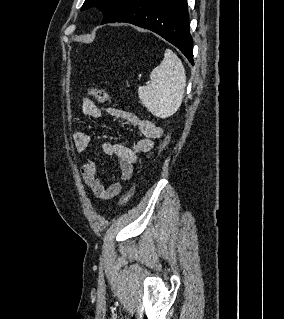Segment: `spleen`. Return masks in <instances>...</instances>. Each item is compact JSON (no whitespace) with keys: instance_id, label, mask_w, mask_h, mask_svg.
Instances as JSON below:
<instances>
[{"instance_id":"obj_1","label":"spleen","mask_w":284,"mask_h":319,"mask_svg":"<svg viewBox=\"0 0 284 319\" xmlns=\"http://www.w3.org/2000/svg\"><path fill=\"white\" fill-rule=\"evenodd\" d=\"M150 80V85L138 88L142 104L156 117H170L181 106L186 86L184 66L172 50H165L164 59L150 73Z\"/></svg>"}]
</instances>
